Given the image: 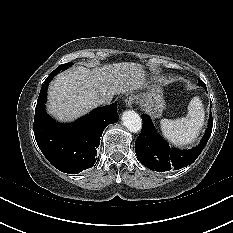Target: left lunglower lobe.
Listing matches in <instances>:
<instances>
[{
	"mask_svg": "<svg viewBox=\"0 0 233 233\" xmlns=\"http://www.w3.org/2000/svg\"><path fill=\"white\" fill-rule=\"evenodd\" d=\"M206 88V87H205ZM142 131L135 142L136 155L144 166L157 172L180 169L191 165L206 146L212 132L213 119L210 113L208 128L200 144L188 150L171 148L156 132L150 118L142 114Z\"/></svg>",
	"mask_w": 233,
	"mask_h": 233,
	"instance_id": "0a47b994",
	"label": "left lung lower lobe"
}]
</instances>
